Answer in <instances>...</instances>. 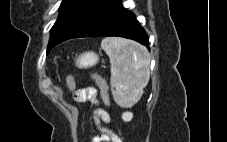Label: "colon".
I'll return each instance as SVG.
<instances>
[{"label": "colon", "instance_id": "5ec220e1", "mask_svg": "<svg viewBox=\"0 0 227 142\" xmlns=\"http://www.w3.org/2000/svg\"><path fill=\"white\" fill-rule=\"evenodd\" d=\"M93 78H94L96 84L98 85V87L100 88L104 103L108 104V102H109L108 101V87H107L106 82L101 77H98V76H93ZM67 86L70 91H72V92L74 91V89H75V77L74 76L68 77Z\"/></svg>", "mask_w": 227, "mask_h": 142}]
</instances>
